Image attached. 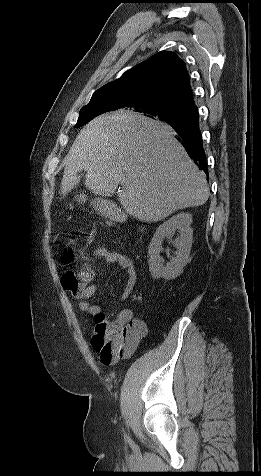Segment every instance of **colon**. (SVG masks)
Returning <instances> with one entry per match:
<instances>
[{
  "label": "colon",
  "instance_id": "1",
  "mask_svg": "<svg viewBox=\"0 0 261 476\" xmlns=\"http://www.w3.org/2000/svg\"><path fill=\"white\" fill-rule=\"evenodd\" d=\"M77 253L73 248H68L63 254V261L68 267L62 272L61 283L65 290L76 293L88 284L92 278L90 269H77L74 263ZM122 331L113 328L107 324L103 315L96 318V326L92 337V344L95 349L103 354L108 355L112 348L120 341Z\"/></svg>",
  "mask_w": 261,
  "mask_h": 476
}]
</instances>
